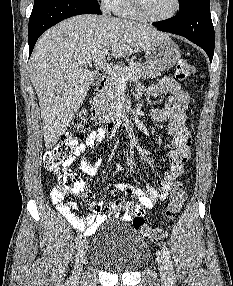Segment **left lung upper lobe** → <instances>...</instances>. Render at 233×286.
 Masks as SVG:
<instances>
[{"label":"left lung upper lobe","mask_w":233,"mask_h":286,"mask_svg":"<svg viewBox=\"0 0 233 286\" xmlns=\"http://www.w3.org/2000/svg\"><path fill=\"white\" fill-rule=\"evenodd\" d=\"M196 0H179V14L184 13Z\"/></svg>","instance_id":"1"}]
</instances>
